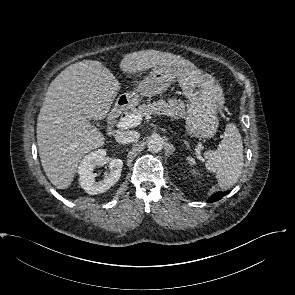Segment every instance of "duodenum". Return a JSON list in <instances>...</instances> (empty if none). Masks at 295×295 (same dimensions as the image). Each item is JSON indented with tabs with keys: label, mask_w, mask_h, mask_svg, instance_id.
I'll use <instances>...</instances> for the list:
<instances>
[{
	"label": "duodenum",
	"mask_w": 295,
	"mask_h": 295,
	"mask_svg": "<svg viewBox=\"0 0 295 295\" xmlns=\"http://www.w3.org/2000/svg\"><path fill=\"white\" fill-rule=\"evenodd\" d=\"M126 106V102L122 99L118 100L117 103L113 106V108L111 109L110 113H109V123L111 124L112 122H114L124 111Z\"/></svg>",
	"instance_id": "duodenum-1"
}]
</instances>
